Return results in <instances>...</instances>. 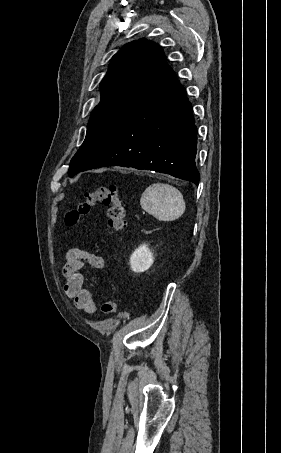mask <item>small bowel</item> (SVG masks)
<instances>
[{"instance_id":"1","label":"small bowel","mask_w":281,"mask_h":453,"mask_svg":"<svg viewBox=\"0 0 281 453\" xmlns=\"http://www.w3.org/2000/svg\"><path fill=\"white\" fill-rule=\"evenodd\" d=\"M86 265L96 269H102L105 267V262L101 256L92 252L70 250L67 253L63 268V274L65 276L64 290L79 310L89 315H94L97 313V305L89 293L83 288L81 270ZM105 282L106 278L100 276L96 280V285H103Z\"/></svg>"}]
</instances>
